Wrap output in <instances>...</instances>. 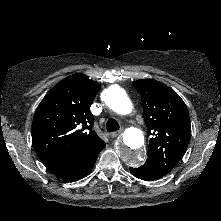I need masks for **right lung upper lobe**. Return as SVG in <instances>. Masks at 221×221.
I'll list each match as a JSON object with an SVG mask.
<instances>
[{
  "mask_svg": "<svg viewBox=\"0 0 221 221\" xmlns=\"http://www.w3.org/2000/svg\"><path fill=\"white\" fill-rule=\"evenodd\" d=\"M99 89L97 82L77 73L57 83L39 104L32 141L47 168L71 162L104 143L92 130L90 111Z\"/></svg>",
  "mask_w": 221,
  "mask_h": 221,
  "instance_id": "1",
  "label": "right lung upper lobe"
}]
</instances>
